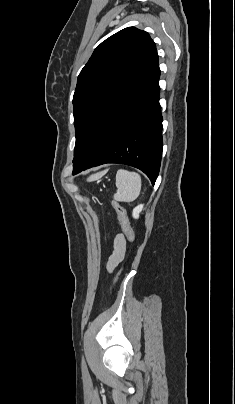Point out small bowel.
<instances>
[{"instance_id": "obj_1", "label": "small bowel", "mask_w": 235, "mask_h": 404, "mask_svg": "<svg viewBox=\"0 0 235 404\" xmlns=\"http://www.w3.org/2000/svg\"><path fill=\"white\" fill-rule=\"evenodd\" d=\"M126 243L123 235H117L113 242V251L107 261V270L113 272L116 266L124 259Z\"/></svg>"}]
</instances>
